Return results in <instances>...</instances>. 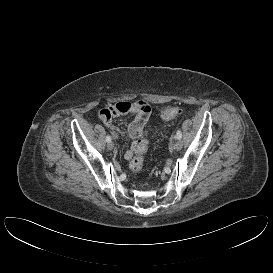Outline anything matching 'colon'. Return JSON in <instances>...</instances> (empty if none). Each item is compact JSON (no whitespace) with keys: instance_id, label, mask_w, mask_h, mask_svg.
Masks as SVG:
<instances>
[{"instance_id":"obj_1","label":"colon","mask_w":273,"mask_h":273,"mask_svg":"<svg viewBox=\"0 0 273 273\" xmlns=\"http://www.w3.org/2000/svg\"><path fill=\"white\" fill-rule=\"evenodd\" d=\"M182 109L176 106L166 107L161 112V117L165 121H169L180 115ZM148 148L146 140L137 142L134 154L130 160L129 167L133 172H139L144 164V156Z\"/></svg>"}]
</instances>
